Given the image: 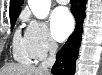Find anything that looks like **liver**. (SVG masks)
<instances>
[{"mask_svg": "<svg viewBox=\"0 0 102 75\" xmlns=\"http://www.w3.org/2000/svg\"><path fill=\"white\" fill-rule=\"evenodd\" d=\"M0 75H49V72L31 65L6 64L1 67Z\"/></svg>", "mask_w": 102, "mask_h": 75, "instance_id": "obj_1", "label": "liver"}]
</instances>
